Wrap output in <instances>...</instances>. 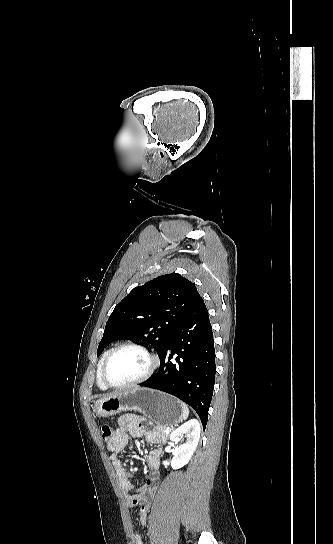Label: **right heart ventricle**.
Instances as JSON below:
<instances>
[{
    "mask_svg": "<svg viewBox=\"0 0 333 544\" xmlns=\"http://www.w3.org/2000/svg\"><path fill=\"white\" fill-rule=\"evenodd\" d=\"M109 351L110 350H107V351H105L103 353V355L101 356V358H100V360L98 362V367H97V384L102 390L107 389V386H105L104 383L101 380L100 371H101V366L103 364V361H104L105 357L107 356V354L109 353Z\"/></svg>",
    "mask_w": 333,
    "mask_h": 544,
    "instance_id": "right-heart-ventricle-1",
    "label": "right heart ventricle"
}]
</instances>
